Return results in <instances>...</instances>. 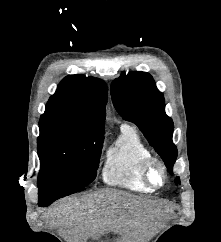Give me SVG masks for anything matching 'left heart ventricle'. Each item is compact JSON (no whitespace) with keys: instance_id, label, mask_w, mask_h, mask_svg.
Segmentation results:
<instances>
[{"instance_id":"obj_1","label":"left heart ventricle","mask_w":221,"mask_h":242,"mask_svg":"<svg viewBox=\"0 0 221 242\" xmlns=\"http://www.w3.org/2000/svg\"><path fill=\"white\" fill-rule=\"evenodd\" d=\"M151 176H152V179L154 180V182L156 184H160L161 183V180H162L161 173H160V171L157 168H154L152 170Z\"/></svg>"}]
</instances>
